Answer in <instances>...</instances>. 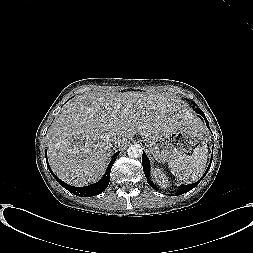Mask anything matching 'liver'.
Masks as SVG:
<instances>
[{
    "label": "liver",
    "instance_id": "obj_1",
    "mask_svg": "<svg viewBox=\"0 0 253 253\" xmlns=\"http://www.w3.org/2000/svg\"><path fill=\"white\" fill-rule=\"evenodd\" d=\"M186 127L206 133L203 122L180 99L169 93L90 92L68 102L47 133L48 161L53 172L73 186L96 182L115 147L135 134L142 136Z\"/></svg>",
    "mask_w": 253,
    "mask_h": 253
}]
</instances>
